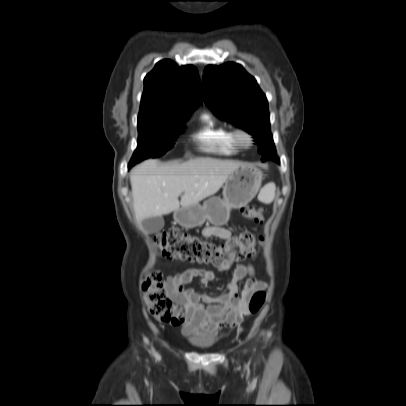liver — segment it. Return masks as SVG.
Here are the masks:
<instances>
[{
  "label": "liver",
  "mask_w": 406,
  "mask_h": 406,
  "mask_svg": "<svg viewBox=\"0 0 406 406\" xmlns=\"http://www.w3.org/2000/svg\"><path fill=\"white\" fill-rule=\"evenodd\" d=\"M246 164L209 157L163 164L150 159L130 173L133 206L138 222L198 204L217 193L228 177ZM181 201L178 197L182 194Z\"/></svg>",
  "instance_id": "liver-1"
}]
</instances>
